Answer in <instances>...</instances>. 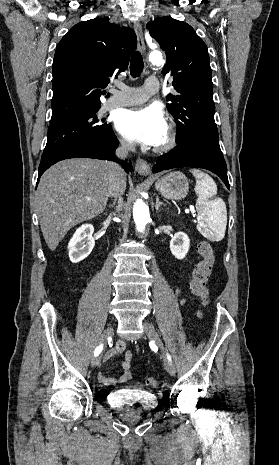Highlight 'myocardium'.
Wrapping results in <instances>:
<instances>
[{
    "label": "myocardium",
    "mask_w": 279,
    "mask_h": 465,
    "mask_svg": "<svg viewBox=\"0 0 279 465\" xmlns=\"http://www.w3.org/2000/svg\"><path fill=\"white\" fill-rule=\"evenodd\" d=\"M167 130H168V133H167L166 140L162 144L157 145L154 148V151H156V152H166V151L171 150L176 145V141H177L176 130L174 129V127L172 125H169L167 127Z\"/></svg>",
    "instance_id": "myocardium-1"
}]
</instances>
